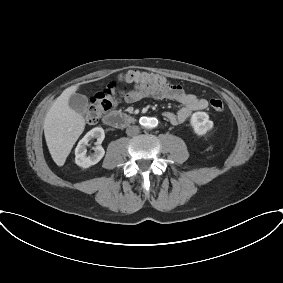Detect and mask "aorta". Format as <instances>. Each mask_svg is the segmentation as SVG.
Wrapping results in <instances>:
<instances>
[{"label":"aorta","instance_id":"1","mask_svg":"<svg viewBox=\"0 0 283 283\" xmlns=\"http://www.w3.org/2000/svg\"><path fill=\"white\" fill-rule=\"evenodd\" d=\"M140 123H141V125H143L144 127L153 128V127L156 126L157 121H156L155 118L142 117V118L140 119Z\"/></svg>","mask_w":283,"mask_h":283}]
</instances>
